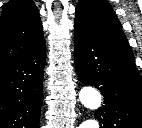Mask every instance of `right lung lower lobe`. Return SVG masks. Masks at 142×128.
Returning <instances> with one entry per match:
<instances>
[{"label":"right lung lower lobe","mask_w":142,"mask_h":128,"mask_svg":"<svg viewBox=\"0 0 142 128\" xmlns=\"http://www.w3.org/2000/svg\"><path fill=\"white\" fill-rule=\"evenodd\" d=\"M46 45L0 69V128H39Z\"/></svg>","instance_id":"right-lung-lower-lobe-1"}]
</instances>
